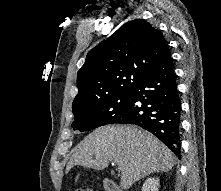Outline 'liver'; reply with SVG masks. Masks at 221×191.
<instances>
[{
    "mask_svg": "<svg viewBox=\"0 0 221 191\" xmlns=\"http://www.w3.org/2000/svg\"><path fill=\"white\" fill-rule=\"evenodd\" d=\"M109 161L118 165L123 189L174 166L172 152L151 133L132 125H116L100 127L86 136L74 149L67 170L74 165L104 169Z\"/></svg>",
    "mask_w": 221,
    "mask_h": 191,
    "instance_id": "obj_1",
    "label": "liver"
}]
</instances>
